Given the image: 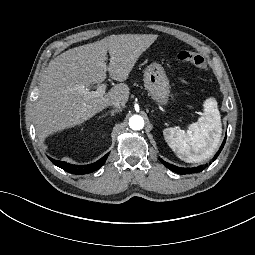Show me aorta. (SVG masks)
Returning <instances> with one entry per match:
<instances>
[{
    "mask_svg": "<svg viewBox=\"0 0 255 255\" xmlns=\"http://www.w3.org/2000/svg\"><path fill=\"white\" fill-rule=\"evenodd\" d=\"M129 126L133 130H141L144 127V120L139 115H133L129 119Z\"/></svg>",
    "mask_w": 255,
    "mask_h": 255,
    "instance_id": "aorta-1",
    "label": "aorta"
}]
</instances>
